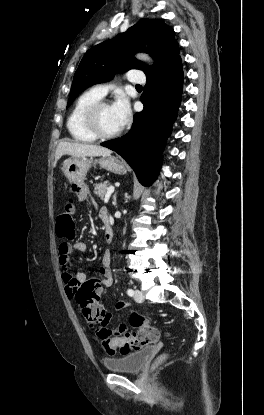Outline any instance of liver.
I'll return each instance as SVG.
<instances>
[{
  "label": "liver",
  "mask_w": 264,
  "mask_h": 415,
  "mask_svg": "<svg viewBox=\"0 0 264 415\" xmlns=\"http://www.w3.org/2000/svg\"><path fill=\"white\" fill-rule=\"evenodd\" d=\"M112 151L106 147L99 145L83 144L77 142H60L55 153V164L63 155H70L73 157H92V156H106L110 155Z\"/></svg>",
  "instance_id": "6515ba94"
}]
</instances>
